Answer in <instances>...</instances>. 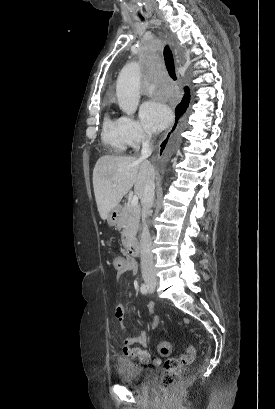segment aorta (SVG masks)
<instances>
[{"mask_svg":"<svg viewBox=\"0 0 275 409\" xmlns=\"http://www.w3.org/2000/svg\"><path fill=\"white\" fill-rule=\"evenodd\" d=\"M118 104L126 114L137 110L140 100V68L138 62H129L123 66L116 84Z\"/></svg>","mask_w":275,"mask_h":409,"instance_id":"obj_1","label":"aorta"}]
</instances>
